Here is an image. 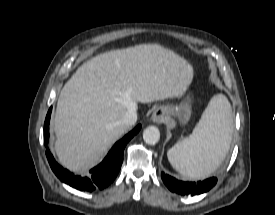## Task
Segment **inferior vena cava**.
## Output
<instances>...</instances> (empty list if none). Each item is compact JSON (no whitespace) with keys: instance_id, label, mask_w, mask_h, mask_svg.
Returning a JSON list of instances; mask_svg holds the SVG:
<instances>
[{"instance_id":"602c4592","label":"inferior vena cava","mask_w":275,"mask_h":215,"mask_svg":"<svg viewBox=\"0 0 275 215\" xmlns=\"http://www.w3.org/2000/svg\"><path fill=\"white\" fill-rule=\"evenodd\" d=\"M137 121L136 109H130L126 112L125 116L121 119L120 123L125 126L134 125Z\"/></svg>"}]
</instances>
